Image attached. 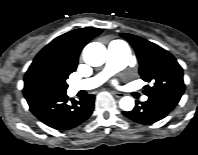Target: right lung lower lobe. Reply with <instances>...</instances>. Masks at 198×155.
Here are the masks:
<instances>
[{
    "mask_svg": "<svg viewBox=\"0 0 198 155\" xmlns=\"http://www.w3.org/2000/svg\"><path fill=\"white\" fill-rule=\"evenodd\" d=\"M94 95L76 101L65 93H48L27 99L31 112L46 125L57 130L72 129L84 122L94 108Z\"/></svg>",
    "mask_w": 198,
    "mask_h": 155,
    "instance_id": "98d812e1",
    "label": "right lung lower lobe"
}]
</instances>
